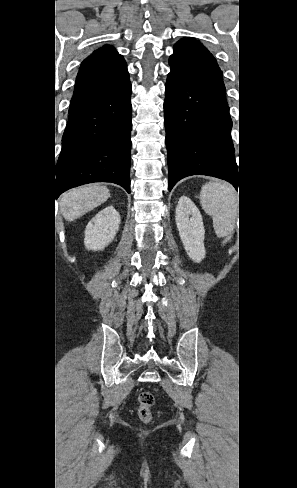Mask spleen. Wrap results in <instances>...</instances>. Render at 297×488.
Here are the masks:
<instances>
[{
    "instance_id": "spleen-1",
    "label": "spleen",
    "mask_w": 297,
    "mask_h": 488,
    "mask_svg": "<svg viewBox=\"0 0 297 488\" xmlns=\"http://www.w3.org/2000/svg\"><path fill=\"white\" fill-rule=\"evenodd\" d=\"M200 200L204 211L213 218L216 234L227 235L232 229L237 207V196L231 186L209 182L202 187Z\"/></svg>"
}]
</instances>
